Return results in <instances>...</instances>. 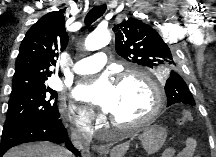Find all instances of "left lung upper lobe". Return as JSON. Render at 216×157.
<instances>
[{
    "label": "left lung upper lobe",
    "instance_id": "obj_1",
    "mask_svg": "<svg viewBox=\"0 0 216 157\" xmlns=\"http://www.w3.org/2000/svg\"><path fill=\"white\" fill-rule=\"evenodd\" d=\"M115 32V49L119 56L129 62L160 70L168 74L165 85L167 104L184 103L195 105L194 98L185 81L178 74L181 64H177L176 49H172L171 39L159 35L160 27H152L141 20L128 18L113 27Z\"/></svg>",
    "mask_w": 216,
    "mask_h": 157
}]
</instances>
